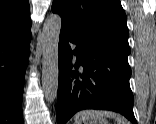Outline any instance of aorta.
<instances>
[{"instance_id": "762f6f07", "label": "aorta", "mask_w": 156, "mask_h": 124, "mask_svg": "<svg viewBox=\"0 0 156 124\" xmlns=\"http://www.w3.org/2000/svg\"><path fill=\"white\" fill-rule=\"evenodd\" d=\"M61 25V17L58 14H51L45 19L42 31V89L49 103L54 102L57 98L58 44Z\"/></svg>"}]
</instances>
